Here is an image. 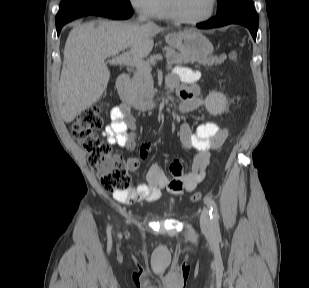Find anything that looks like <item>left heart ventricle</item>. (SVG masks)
Masks as SVG:
<instances>
[{
	"label": "left heart ventricle",
	"mask_w": 309,
	"mask_h": 288,
	"mask_svg": "<svg viewBox=\"0 0 309 288\" xmlns=\"http://www.w3.org/2000/svg\"><path fill=\"white\" fill-rule=\"evenodd\" d=\"M174 11L181 17L197 19L205 16L211 7V0H171Z\"/></svg>",
	"instance_id": "1"
}]
</instances>
